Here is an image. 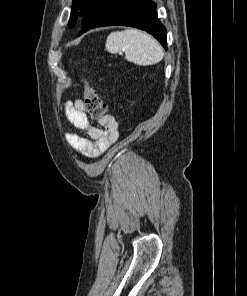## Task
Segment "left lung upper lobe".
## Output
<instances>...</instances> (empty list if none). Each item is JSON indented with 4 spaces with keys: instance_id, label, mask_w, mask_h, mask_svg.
Here are the masks:
<instances>
[{
    "instance_id": "left-lung-upper-lobe-1",
    "label": "left lung upper lobe",
    "mask_w": 247,
    "mask_h": 296,
    "mask_svg": "<svg viewBox=\"0 0 247 296\" xmlns=\"http://www.w3.org/2000/svg\"><path fill=\"white\" fill-rule=\"evenodd\" d=\"M99 0H73L69 27L76 25L77 17L84 16Z\"/></svg>"
}]
</instances>
